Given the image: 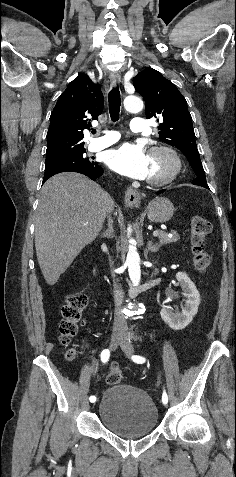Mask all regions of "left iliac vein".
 <instances>
[{
	"mask_svg": "<svg viewBox=\"0 0 236 477\" xmlns=\"http://www.w3.org/2000/svg\"><path fill=\"white\" fill-rule=\"evenodd\" d=\"M120 347L122 348V350L124 351V353L130 357L133 353H134V348L133 346L131 345L130 342H128L125 338L122 339V341L120 342ZM162 408L163 410H168V403L167 402H164L162 403Z\"/></svg>",
	"mask_w": 236,
	"mask_h": 477,
	"instance_id": "4c4485c4",
	"label": "left iliac vein"
}]
</instances>
